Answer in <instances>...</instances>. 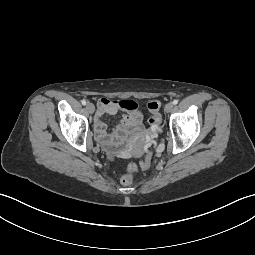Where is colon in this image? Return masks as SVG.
Segmentation results:
<instances>
[{"instance_id":"5ec220e1","label":"colon","mask_w":255,"mask_h":255,"mask_svg":"<svg viewBox=\"0 0 255 255\" xmlns=\"http://www.w3.org/2000/svg\"><path fill=\"white\" fill-rule=\"evenodd\" d=\"M147 108L151 113V117L149 118V128L152 134H156L159 131L160 123L162 121L161 115L159 113L160 102L158 101H150L147 103ZM149 166V156L145 159V161L141 164V169H147ZM136 170V167L132 166L130 170L125 173L120 182L124 186H129L133 183L134 175L133 171Z\"/></svg>"}]
</instances>
